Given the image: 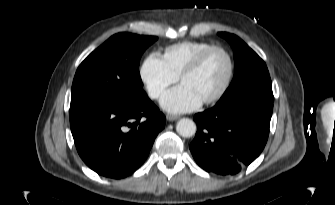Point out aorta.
<instances>
[{
	"instance_id": "obj_1",
	"label": "aorta",
	"mask_w": 335,
	"mask_h": 205,
	"mask_svg": "<svg viewBox=\"0 0 335 205\" xmlns=\"http://www.w3.org/2000/svg\"><path fill=\"white\" fill-rule=\"evenodd\" d=\"M176 131L182 137H192L196 133V124L189 118H182L176 124Z\"/></svg>"
}]
</instances>
